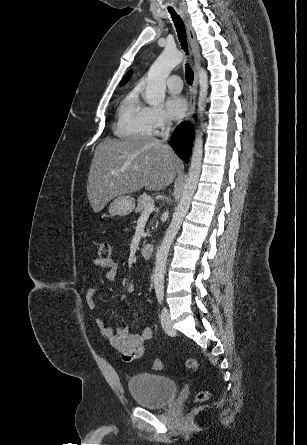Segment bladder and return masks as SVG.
<instances>
[{
  "mask_svg": "<svg viewBox=\"0 0 307 445\" xmlns=\"http://www.w3.org/2000/svg\"><path fill=\"white\" fill-rule=\"evenodd\" d=\"M178 384L163 375L139 373L129 378L128 390L134 402L147 409H162L175 399Z\"/></svg>",
  "mask_w": 307,
  "mask_h": 445,
  "instance_id": "31cf9c89",
  "label": "bladder"
}]
</instances>
